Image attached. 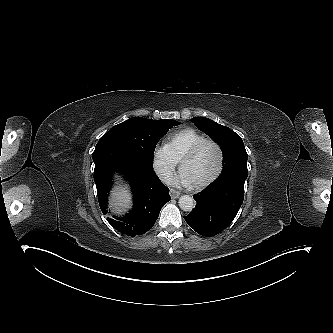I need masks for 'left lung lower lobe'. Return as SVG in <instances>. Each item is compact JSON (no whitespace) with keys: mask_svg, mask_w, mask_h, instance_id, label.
<instances>
[{"mask_svg":"<svg viewBox=\"0 0 333 333\" xmlns=\"http://www.w3.org/2000/svg\"><path fill=\"white\" fill-rule=\"evenodd\" d=\"M195 208L184 217L198 234L214 236L233 221L244 199V184L216 180L202 192L193 196Z\"/></svg>","mask_w":333,"mask_h":333,"instance_id":"1","label":"left lung lower lobe"}]
</instances>
